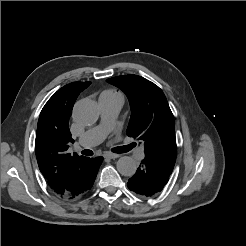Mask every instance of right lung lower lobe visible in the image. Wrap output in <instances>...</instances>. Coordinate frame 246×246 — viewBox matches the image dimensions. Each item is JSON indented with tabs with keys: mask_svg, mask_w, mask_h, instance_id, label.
<instances>
[{
	"mask_svg": "<svg viewBox=\"0 0 246 246\" xmlns=\"http://www.w3.org/2000/svg\"><path fill=\"white\" fill-rule=\"evenodd\" d=\"M102 161V157H87L80 168L69 177L63 189L56 193L66 199H76L84 195L91 189Z\"/></svg>",
	"mask_w": 246,
	"mask_h": 246,
	"instance_id": "98d812e1",
	"label": "right lung lower lobe"
}]
</instances>
